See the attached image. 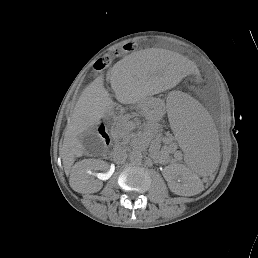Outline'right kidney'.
I'll list each match as a JSON object with an SVG mask.
<instances>
[{
	"mask_svg": "<svg viewBox=\"0 0 258 258\" xmlns=\"http://www.w3.org/2000/svg\"><path fill=\"white\" fill-rule=\"evenodd\" d=\"M105 166V162L104 161H98L97 164H94L92 161H88V162H85L79 169H78V172L80 171H83L84 174H90L89 173V169H103V167ZM102 187V183H99L93 187H91V189L87 192H97L101 189Z\"/></svg>",
	"mask_w": 258,
	"mask_h": 258,
	"instance_id": "right-kidney-1",
	"label": "right kidney"
}]
</instances>
